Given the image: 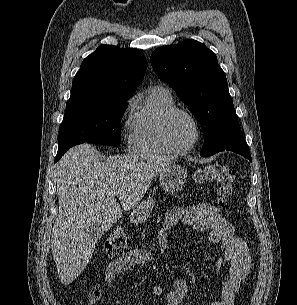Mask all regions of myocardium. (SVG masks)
Wrapping results in <instances>:
<instances>
[{
  "instance_id": "f54148a6",
  "label": "myocardium",
  "mask_w": 297,
  "mask_h": 305,
  "mask_svg": "<svg viewBox=\"0 0 297 305\" xmlns=\"http://www.w3.org/2000/svg\"><path fill=\"white\" fill-rule=\"evenodd\" d=\"M177 114L185 115L193 123L194 128H195L194 140L185 147L175 146L171 142L169 133H168L169 122ZM158 130H159L160 139H161L162 143L164 144V146L170 152L175 153V154H185V153L190 152L192 149H194V147L197 145V143L199 142V140L201 138V126H200L197 118L188 110L183 109V108H178V107L171 108L162 115V117L160 118Z\"/></svg>"
}]
</instances>
